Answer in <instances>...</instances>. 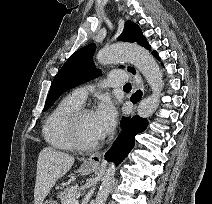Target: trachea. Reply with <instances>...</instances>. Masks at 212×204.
<instances>
[{"mask_svg": "<svg viewBox=\"0 0 212 204\" xmlns=\"http://www.w3.org/2000/svg\"><path fill=\"white\" fill-rule=\"evenodd\" d=\"M123 89L131 90V84L127 83L123 86Z\"/></svg>", "mask_w": 212, "mask_h": 204, "instance_id": "1", "label": "trachea"}]
</instances>
